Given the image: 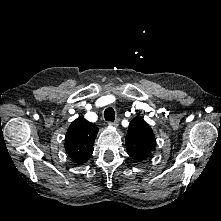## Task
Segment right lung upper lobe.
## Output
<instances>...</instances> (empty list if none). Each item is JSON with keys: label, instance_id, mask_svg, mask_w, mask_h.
Masks as SVG:
<instances>
[{"label": "right lung upper lobe", "instance_id": "1", "mask_svg": "<svg viewBox=\"0 0 221 221\" xmlns=\"http://www.w3.org/2000/svg\"><path fill=\"white\" fill-rule=\"evenodd\" d=\"M97 133V126L83 117L71 123L65 136V150L74 163L84 164L91 157Z\"/></svg>", "mask_w": 221, "mask_h": 221}]
</instances>
